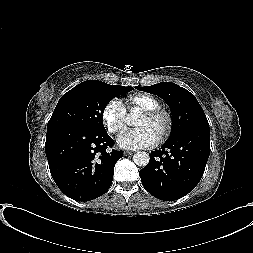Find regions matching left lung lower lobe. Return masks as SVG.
<instances>
[{
	"label": "left lung lower lobe",
	"mask_w": 253,
	"mask_h": 253,
	"mask_svg": "<svg viewBox=\"0 0 253 253\" xmlns=\"http://www.w3.org/2000/svg\"><path fill=\"white\" fill-rule=\"evenodd\" d=\"M210 154V132L189 129L170 137L149 154L150 161L139 171L144 188L164 201H174L199 183Z\"/></svg>",
	"instance_id": "left-lung-lower-lobe-1"
}]
</instances>
